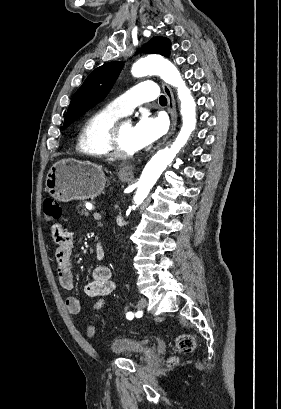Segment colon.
<instances>
[{
  "label": "colon",
  "instance_id": "obj_1",
  "mask_svg": "<svg viewBox=\"0 0 281 409\" xmlns=\"http://www.w3.org/2000/svg\"><path fill=\"white\" fill-rule=\"evenodd\" d=\"M43 214H44V221L46 223H52L57 221L61 218L62 215V207L61 205L53 198H46L43 201ZM94 327L90 326L88 328V335L93 337L94 335ZM176 347L183 352H190L195 347L194 339L189 334H181L175 339ZM175 359H172L174 362Z\"/></svg>",
  "mask_w": 281,
  "mask_h": 409
}]
</instances>
